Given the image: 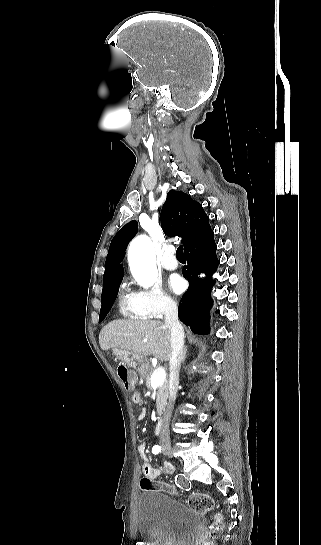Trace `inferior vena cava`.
<instances>
[{"mask_svg": "<svg viewBox=\"0 0 321 545\" xmlns=\"http://www.w3.org/2000/svg\"><path fill=\"white\" fill-rule=\"evenodd\" d=\"M164 315L165 325L170 327L171 331L172 351L171 359H169V401L161 423L160 448L168 451L172 447L169 437V423L179 385V371L184 353V329L178 321L177 305L172 299L165 301Z\"/></svg>", "mask_w": 321, "mask_h": 545, "instance_id": "602c4592", "label": "inferior vena cava"}]
</instances>
